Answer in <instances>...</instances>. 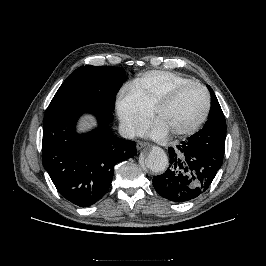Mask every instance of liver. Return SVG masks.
<instances>
[{"label": "liver", "instance_id": "1", "mask_svg": "<svg viewBox=\"0 0 266 266\" xmlns=\"http://www.w3.org/2000/svg\"><path fill=\"white\" fill-rule=\"evenodd\" d=\"M93 125H94V121L90 117H86L82 121L81 129L82 130H87L88 128H91Z\"/></svg>", "mask_w": 266, "mask_h": 266}]
</instances>
